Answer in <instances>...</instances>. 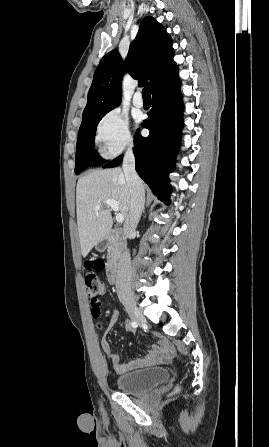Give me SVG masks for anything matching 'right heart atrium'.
I'll return each mask as SVG.
<instances>
[{"label":"right heart atrium","instance_id":"d8ad5b80","mask_svg":"<svg viewBox=\"0 0 269 447\" xmlns=\"http://www.w3.org/2000/svg\"><path fill=\"white\" fill-rule=\"evenodd\" d=\"M100 154L105 158L119 155L134 144L127 115L118 108L108 111L98 122L94 136Z\"/></svg>","mask_w":269,"mask_h":447}]
</instances>
